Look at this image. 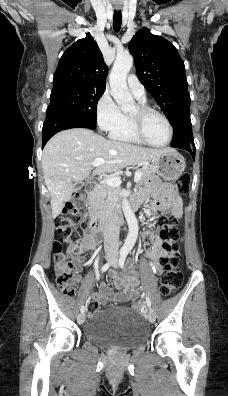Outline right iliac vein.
Listing matches in <instances>:
<instances>
[{
    "instance_id": "63e3f726",
    "label": "right iliac vein",
    "mask_w": 228,
    "mask_h": 396,
    "mask_svg": "<svg viewBox=\"0 0 228 396\" xmlns=\"http://www.w3.org/2000/svg\"><path fill=\"white\" fill-rule=\"evenodd\" d=\"M111 257H112L111 255H108L107 256V260L109 261L111 259ZM77 321H78L79 324H83L84 321H85V314L84 313H80L78 315V317H77Z\"/></svg>"
}]
</instances>
